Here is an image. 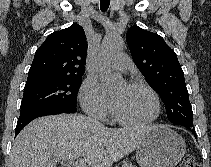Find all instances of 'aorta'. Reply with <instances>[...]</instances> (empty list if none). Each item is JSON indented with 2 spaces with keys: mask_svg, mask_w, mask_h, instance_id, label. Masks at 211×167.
Wrapping results in <instances>:
<instances>
[{
  "mask_svg": "<svg viewBox=\"0 0 211 167\" xmlns=\"http://www.w3.org/2000/svg\"><path fill=\"white\" fill-rule=\"evenodd\" d=\"M124 41L121 37L116 35L107 36L99 51L101 61L100 76L101 80L108 89L119 86L123 82V78L106 69V62L109 61L115 54L123 49Z\"/></svg>",
  "mask_w": 211,
  "mask_h": 167,
  "instance_id": "1",
  "label": "aorta"
}]
</instances>
